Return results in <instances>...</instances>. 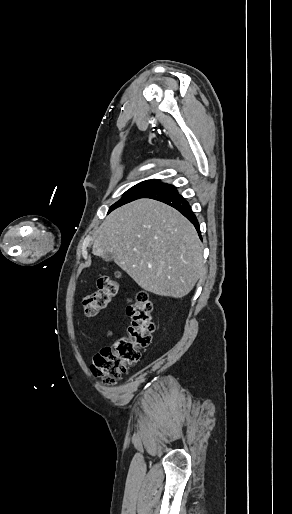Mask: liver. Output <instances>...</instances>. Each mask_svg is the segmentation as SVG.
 I'll list each match as a JSON object with an SVG mask.
<instances>
[{
    "mask_svg": "<svg viewBox=\"0 0 292 514\" xmlns=\"http://www.w3.org/2000/svg\"><path fill=\"white\" fill-rule=\"evenodd\" d=\"M98 234L92 254L111 252L115 264L146 292L183 298L205 274L194 226L161 202L136 200L114 210Z\"/></svg>",
    "mask_w": 292,
    "mask_h": 514,
    "instance_id": "1",
    "label": "liver"
}]
</instances>
